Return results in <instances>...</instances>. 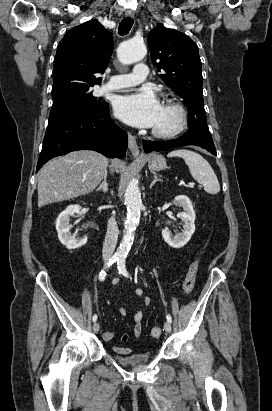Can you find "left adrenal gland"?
<instances>
[{
  "mask_svg": "<svg viewBox=\"0 0 272 411\" xmlns=\"http://www.w3.org/2000/svg\"><path fill=\"white\" fill-rule=\"evenodd\" d=\"M162 179L158 177L157 174L154 175L153 177V181L150 184V189L152 188V186L157 182V181H161Z\"/></svg>",
  "mask_w": 272,
  "mask_h": 411,
  "instance_id": "a2214340",
  "label": "left adrenal gland"
}]
</instances>
